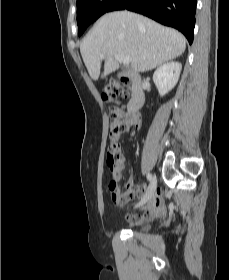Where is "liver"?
<instances>
[{
	"label": "liver",
	"instance_id": "1",
	"mask_svg": "<svg viewBox=\"0 0 229 280\" xmlns=\"http://www.w3.org/2000/svg\"><path fill=\"white\" fill-rule=\"evenodd\" d=\"M185 49L186 39L180 32L129 11L103 15L80 45L84 64L95 81L102 59L103 76L119 68L114 54L131 57L132 70L146 72L182 55Z\"/></svg>",
	"mask_w": 229,
	"mask_h": 280
}]
</instances>
